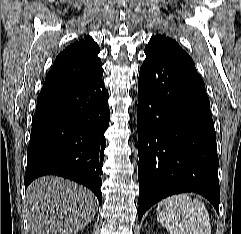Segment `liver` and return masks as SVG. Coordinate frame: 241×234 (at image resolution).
Segmentation results:
<instances>
[{
    "instance_id": "1",
    "label": "liver",
    "mask_w": 241,
    "mask_h": 234,
    "mask_svg": "<svg viewBox=\"0 0 241 234\" xmlns=\"http://www.w3.org/2000/svg\"><path fill=\"white\" fill-rule=\"evenodd\" d=\"M26 204L31 234H76L94 218L98 202L75 182L45 176L29 185Z\"/></svg>"
}]
</instances>
